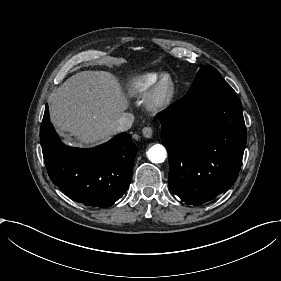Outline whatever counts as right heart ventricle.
I'll use <instances>...</instances> for the list:
<instances>
[{"mask_svg":"<svg viewBox=\"0 0 281 281\" xmlns=\"http://www.w3.org/2000/svg\"><path fill=\"white\" fill-rule=\"evenodd\" d=\"M160 75L157 73H147L136 77L128 82V89L132 96H140L148 92L158 81Z\"/></svg>","mask_w":281,"mask_h":281,"instance_id":"right-heart-ventricle-1","label":"right heart ventricle"}]
</instances>
